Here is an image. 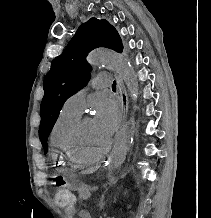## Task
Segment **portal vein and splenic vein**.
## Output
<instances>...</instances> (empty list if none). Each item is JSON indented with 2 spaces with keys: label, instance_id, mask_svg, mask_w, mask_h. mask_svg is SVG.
<instances>
[{
  "label": "portal vein and splenic vein",
  "instance_id": "portal-vein-and-splenic-vein-1",
  "mask_svg": "<svg viewBox=\"0 0 211 218\" xmlns=\"http://www.w3.org/2000/svg\"><path fill=\"white\" fill-rule=\"evenodd\" d=\"M98 188H99L98 186H93V188H92L91 190H92V191H94V190H95V191H98Z\"/></svg>",
  "mask_w": 211,
  "mask_h": 218
}]
</instances>
